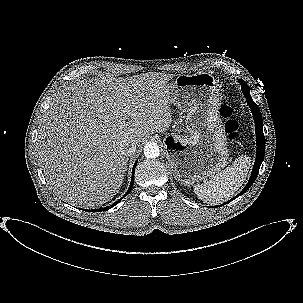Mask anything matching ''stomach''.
Segmentation results:
<instances>
[{"mask_svg":"<svg viewBox=\"0 0 303 303\" xmlns=\"http://www.w3.org/2000/svg\"><path fill=\"white\" fill-rule=\"evenodd\" d=\"M170 104L187 114L189 136L165 138L167 159L173 176L186 185L205 181L228 163L227 137L220 118L221 93L207 72L179 75L168 84Z\"/></svg>","mask_w":303,"mask_h":303,"instance_id":"obj_1","label":"stomach"}]
</instances>
